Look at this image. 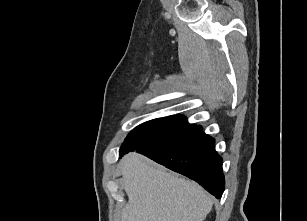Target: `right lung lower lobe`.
I'll return each mask as SVG.
<instances>
[{
  "instance_id": "1",
  "label": "right lung lower lobe",
  "mask_w": 307,
  "mask_h": 221,
  "mask_svg": "<svg viewBox=\"0 0 307 221\" xmlns=\"http://www.w3.org/2000/svg\"><path fill=\"white\" fill-rule=\"evenodd\" d=\"M214 143L198 125L173 139L136 151L195 180L216 198H221L225 179L222 158L215 151Z\"/></svg>"
}]
</instances>
